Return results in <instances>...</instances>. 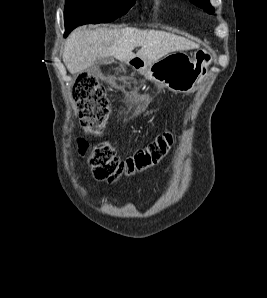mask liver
Returning <instances> with one entry per match:
<instances>
[{"mask_svg":"<svg viewBox=\"0 0 267 298\" xmlns=\"http://www.w3.org/2000/svg\"><path fill=\"white\" fill-rule=\"evenodd\" d=\"M136 47L141 48L134 54ZM197 48L199 45L193 41L165 31L129 27L88 30L82 27L68 36L63 49V62L71 74H76L102 58L114 57L128 62L138 57L146 62H155L171 52Z\"/></svg>","mask_w":267,"mask_h":298,"instance_id":"liver-1","label":"liver"}]
</instances>
